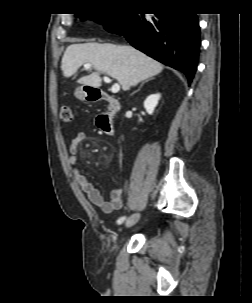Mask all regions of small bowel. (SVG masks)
Segmentation results:
<instances>
[{
	"instance_id": "obj_1",
	"label": "small bowel",
	"mask_w": 252,
	"mask_h": 303,
	"mask_svg": "<svg viewBox=\"0 0 252 303\" xmlns=\"http://www.w3.org/2000/svg\"><path fill=\"white\" fill-rule=\"evenodd\" d=\"M97 126L100 128L99 123ZM87 135L84 132H78L72 139L69 146V165L75 181L80 186L82 191L86 194L89 202L100 208L105 213H111L118 210L122 205L123 190L121 187L115 188L111 191L110 200L105 201L101 195V192L94 187V185L88 181V179L80 172L79 164L77 162L76 155L78 153L79 145L86 141Z\"/></svg>"
}]
</instances>
